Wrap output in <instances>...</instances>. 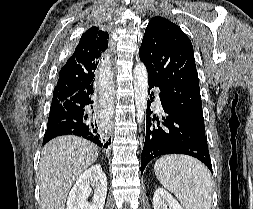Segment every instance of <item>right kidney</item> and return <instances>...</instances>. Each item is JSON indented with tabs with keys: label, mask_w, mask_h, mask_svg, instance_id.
<instances>
[{
	"label": "right kidney",
	"mask_w": 253,
	"mask_h": 209,
	"mask_svg": "<svg viewBox=\"0 0 253 209\" xmlns=\"http://www.w3.org/2000/svg\"><path fill=\"white\" fill-rule=\"evenodd\" d=\"M93 186L92 202L87 199ZM107 195V178L100 165L96 164L81 174L71 189L66 209H103Z\"/></svg>",
	"instance_id": "obj_1"
}]
</instances>
